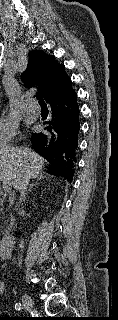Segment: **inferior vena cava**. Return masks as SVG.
<instances>
[{"label": "inferior vena cava", "instance_id": "inferior-vena-cava-1", "mask_svg": "<svg viewBox=\"0 0 118 320\" xmlns=\"http://www.w3.org/2000/svg\"><path fill=\"white\" fill-rule=\"evenodd\" d=\"M21 152L24 156H29L32 151L29 148H22ZM30 178L31 177L29 175H25L23 178V181L21 182V185L19 187V191H20L19 203H22L26 199L27 188H28V185L30 182ZM19 248L20 249L24 248V241L23 240L20 241ZM21 258H22V256H20V259H19V266L22 264Z\"/></svg>", "mask_w": 118, "mask_h": 320}]
</instances>
